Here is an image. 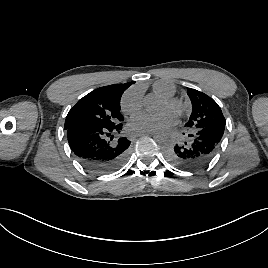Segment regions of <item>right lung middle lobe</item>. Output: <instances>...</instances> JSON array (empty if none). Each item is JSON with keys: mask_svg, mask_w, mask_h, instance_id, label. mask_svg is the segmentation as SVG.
Returning <instances> with one entry per match:
<instances>
[{"mask_svg": "<svg viewBox=\"0 0 268 268\" xmlns=\"http://www.w3.org/2000/svg\"><path fill=\"white\" fill-rule=\"evenodd\" d=\"M121 96L95 89L69 111L65 120V129L70 126H93L109 128L124 120L120 113Z\"/></svg>", "mask_w": 268, "mask_h": 268, "instance_id": "obj_1", "label": "right lung middle lobe"}]
</instances>
